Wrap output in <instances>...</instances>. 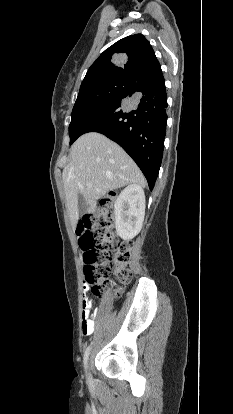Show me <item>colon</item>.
I'll list each match as a JSON object with an SVG mask.
<instances>
[{
    "label": "colon",
    "instance_id": "colon-1",
    "mask_svg": "<svg viewBox=\"0 0 233 414\" xmlns=\"http://www.w3.org/2000/svg\"><path fill=\"white\" fill-rule=\"evenodd\" d=\"M112 202L111 195L104 197L96 213L84 218L78 227L79 243L84 251V276L96 296L102 294L113 271L120 286L130 283L133 274L132 242L115 238Z\"/></svg>",
    "mask_w": 233,
    "mask_h": 414
}]
</instances>
